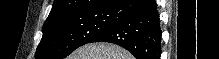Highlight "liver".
<instances>
[{
  "mask_svg": "<svg viewBox=\"0 0 219 59\" xmlns=\"http://www.w3.org/2000/svg\"><path fill=\"white\" fill-rule=\"evenodd\" d=\"M67 59H134L125 49L108 43L86 44L75 50Z\"/></svg>",
  "mask_w": 219,
  "mask_h": 59,
  "instance_id": "obj_1",
  "label": "liver"
}]
</instances>
